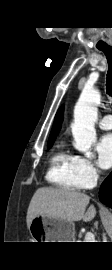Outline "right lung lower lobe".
Wrapping results in <instances>:
<instances>
[{
  "label": "right lung lower lobe",
  "mask_w": 112,
  "mask_h": 270,
  "mask_svg": "<svg viewBox=\"0 0 112 270\" xmlns=\"http://www.w3.org/2000/svg\"><path fill=\"white\" fill-rule=\"evenodd\" d=\"M99 198L104 204L112 208V172L102 183Z\"/></svg>",
  "instance_id": "right-lung-lower-lobe-1"
}]
</instances>
